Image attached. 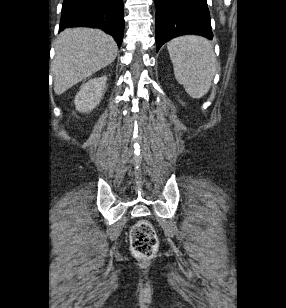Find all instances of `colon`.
<instances>
[{
	"label": "colon",
	"instance_id": "obj_1",
	"mask_svg": "<svg viewBox=\"0 0 286 308\" xmlns=\"http://www.w3.org/2000/svg\"><path fill=\"white\" fill-rule=\"evenodd\" d=\"M129 239L133 254L139 258H151L158 249V236L148 221L137 222L130 231Z\"/></svg>",
	"mask_w": 286,
	"mask_h": 308
}]
</instances>
